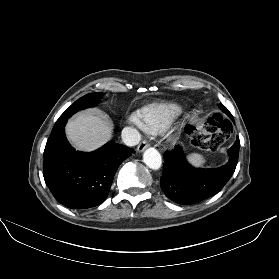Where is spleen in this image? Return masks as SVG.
<instances>
[{
  "mask_svg": "<svg viewBox=\"0 0 279 279\" xmlns=\"http://www.w3.org/2000/svg\"><path fill=\"white\" fill-rule=\"evenodd\" d=\"M188 161L195 167H203L205 164V159L201 154L191 153L187 156Z\"/></svg>",
  "mask_w": 279,
  "mask_h": 279,
  "instance_id": "obj_1",
  "label": "spleen"
}]
</instances>
